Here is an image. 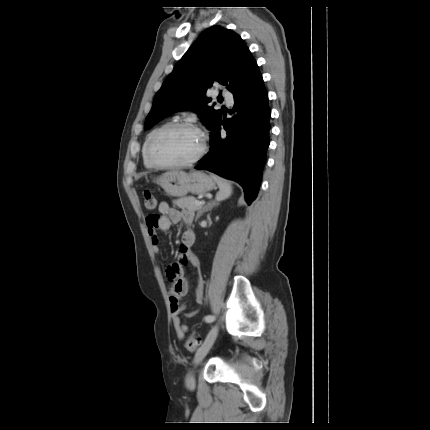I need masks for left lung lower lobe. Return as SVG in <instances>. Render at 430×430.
Wrapping results in <instances>:
<instances>
[{
  "instance_id": "1",
  "label": "left lung lower lobe",
  "mask_w": 430,
  "mask_h": 430,
  "mask_svg": "<svg viewBox=\"0 0 430 430\" xmlns=\"http://www.w3.org/2000/svg\"><path fill=\"white\" fill-rule=\"evenodd\" d=\"M232 118L211 122V150L196 169H205L238 182L251 204L259 191L269 140L268 94L260 71L242 79L233 91ZM225 116V114L223 113ZM220 125L225 131H221Z\"/></svg>"
}]
</instances>
